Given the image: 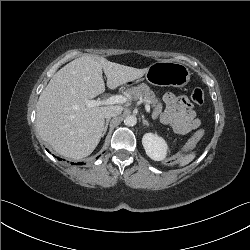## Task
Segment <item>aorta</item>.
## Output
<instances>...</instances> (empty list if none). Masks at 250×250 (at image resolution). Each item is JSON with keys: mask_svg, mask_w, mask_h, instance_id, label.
<instances>
[{"mask_svg": "<svg viewBox=\"0 0 250 250\" xmlns=\"http://www.w3.org/2000/svg\"><path fill=\"white\" fill-rule=\"evenodd\" d=\"M136 123H137V118L134 115H129L124 120V124L126 126H134Z\"/></svg>", "mask_w": 250, "mask_h": 250, "instance_id": "aorta-1", "label": "aorta"}]
</instances>
